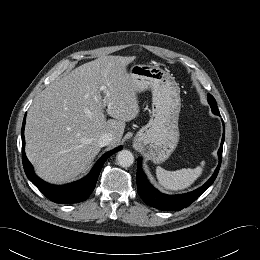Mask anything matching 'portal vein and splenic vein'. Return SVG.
Here are the masks:
<instances>
[{
	"mask_svg": "<svg viewBox=\"0 0 260 260\" xmlns=\"http://www.w3.org/2000/svg\"><path fill=\"white\" fill-rule=\"evenodd\" d=\"M105 89V86H101L100 87V90L102 91V90H104Z\"/></svg>",
	"mask_w": 260,
	"mask_h": 260,
	"instance_id": "obj_1",
	"label": "portal vein and splenic vein"
}]
</instances>
